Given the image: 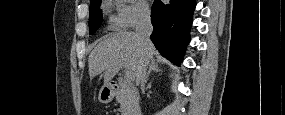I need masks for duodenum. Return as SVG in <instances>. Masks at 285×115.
I'll use <instances>...</instances> for the list:
<instances>
[{
  "mask_svg": "<svg viewBox=\"0 0 285 115\" xmlns=\"http://www.w3.org/2000/svg\"><path fill=\"white\" fill-rule=\"evenodd\" d=\"M119 86H118V84L117 83H111L110 84V88H112V89H116V88H118Z\"/></svg>",
  "mask_w": 285,
  "mask_h": 115,
  "instance_id": "obj_1",
  "label": "duodenum"
}]
</instances>
